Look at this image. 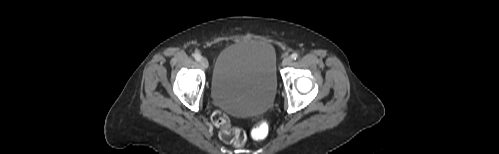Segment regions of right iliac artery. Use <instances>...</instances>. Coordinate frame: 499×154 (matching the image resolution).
Here are the masks:
<instances>
[{
  "mask_svg": "<svg viewBox=\"0 0 499 154\" xmlns=\"http://www.w3.org/2000/svg\"><path fill=\"white\" fill-rule=\"evenodd\" d=\"M194 58H195L197 61H200L201 56H200V54H199V53H195V54H194Z\"/></svg>",
  "mask_w": 499,
  "mask_h": 154,
  "instance_id": "1",
  "label": "right iliac artery"
}]
</instances>
